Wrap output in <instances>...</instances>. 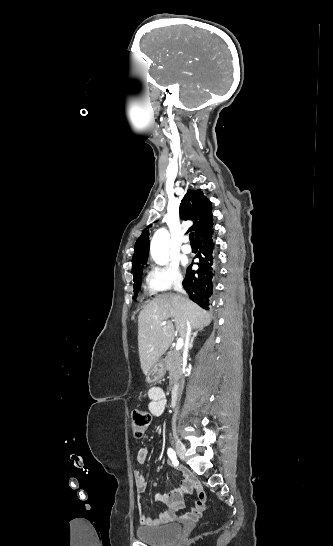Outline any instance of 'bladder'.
Listing matches in <instances>:
<instances>
[{"label": "bladder", "mask_w": 333, "mask_h": 546, "mask_svg": "<svg viewBox=\"0 0 333 546\" xmlns=\"http://www.w3.org/2000/svg\"><path fill=\"white\" fill-rule=\"evenodd\" d=\"M182 533L179 523H168L157 527H139L136 530L138 539L150 546H169Z\"/></svg>", "instance_id": "bladder-1"}]
</instances>
